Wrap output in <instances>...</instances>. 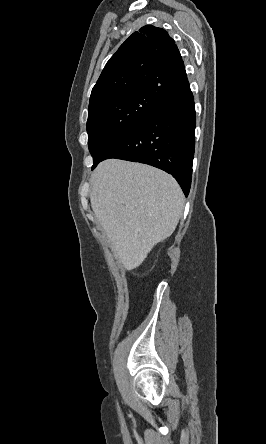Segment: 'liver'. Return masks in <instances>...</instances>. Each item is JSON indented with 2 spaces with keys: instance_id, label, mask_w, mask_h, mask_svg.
<instances>
[{
  "instance_id": "obj_1",
  "label": "liver",
  "mask_w": 266,
  "mask_h": 444,
  "mask_svg": "<svg viewBox=\"0 0 266 444\" xmlns=\"http://www.w3.org/2000/svg\"><path fill=\"white\" fill-rule=\"evenodd\" d=\"M91 184L92 209L126 270L140 266L182 216L180 186L157 168L109 159L97 166Z\"/></svg>"
}]
</instances>
